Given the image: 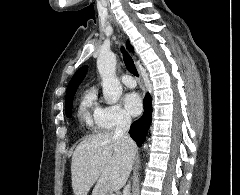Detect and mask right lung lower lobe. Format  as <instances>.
<instances>
[{"instance_id":"right-lung-lower-lobe-1","label":"right lung lower lobe","mask_w":240,"mask_h":195,"mask_svg":"<svg viewBox=\"0 0 240 195\" xmlns=\"http://www.w3.org/2000/svg\"><path fill=\"white\" fill-rule=\"evenodd\" d=\"M144 113L140 119L133 122L130 128V135L136 141L138 146H141L145 141L147 132L152 120V104L150 94H146L144 100Z\"/></svg>"}]
</instances>
